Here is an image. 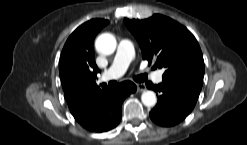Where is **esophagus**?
Instances as JSON below:
<instances>
[{"label":"esophagus","instance_id":"obj_1","mask_svg":"<svg viewBox=\"0 0 247 145\" xmlns=\"http://www.w3.org/2000/svg\"><path fill=\"white\" fill-rule=\"evenodd\" d=\"M138 92H143L145 90L144 83H136Z\"/></svg>","mask_w":247,"mask_h":145}]
</instances>
